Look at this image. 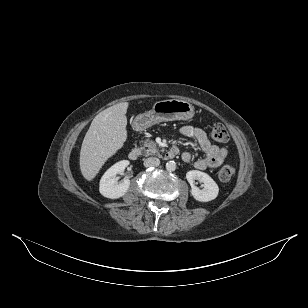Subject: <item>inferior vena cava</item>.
Returning <instances> with one entry per match:
<instances>
[{
	"label": "inferior vena cava",
	"mask_w": 308,
	"mask_h": 308,
	"mask_svg": "<svg viewBox=\"0 0 308 308\" xmlns=\"http://www.w3.org/2000/svg\"><path fill=\"white\" fill-rule=\"evenodd\" d=\"M160 164V160L156 157H149L144 160L145 167H157Z\"/></svg>",
	"instance_id": "602c4592"
}]
</instances>
